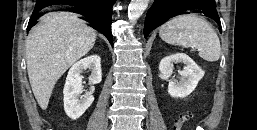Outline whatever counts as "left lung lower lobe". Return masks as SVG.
I'll list each match as a JSON object with an SVG mask.
<instances>
[{
	"mask_svg": "<svg viewBox=\"0 0 257 130\" xmlns=\"http://www.w3.org/2000/svg\"><path fill=\"white\" fill-rule=\"evenodd\" d=\"M189 11L201 13L221 26L215 0H157L147 12L144 36L147 37L151 30L162 25L170 18Z\"/></svg>",
	"mask_w": 257,
	"mask_h": 130,
	"instance_id": "1",
	"label": "left lung lower lobe"
}]
</instances>
